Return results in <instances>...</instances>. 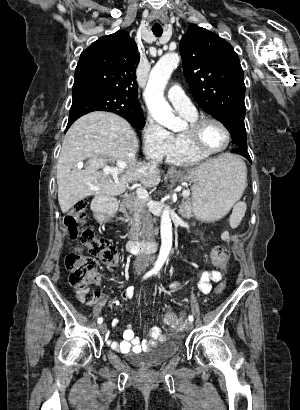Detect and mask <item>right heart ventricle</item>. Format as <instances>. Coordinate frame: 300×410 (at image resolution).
I'll return each instance as SVG.
<instances>
[{
    "instance_id": "right-heart-ventricle-1",
    "label": "right heart ventricle",
    "mask_w": 300,
    "mask_h": 410,
    "mask_svg": "<svg viewBox=\"0 0 300 410\" xmlns=\"http://www.w3.org/2000/svg\"><path fill=\"white\" fill-rule=\"evenodd\" d=\"M180 113V112H179ZM188 122L197 118V113H180ZM169 163L178 165H194L207 158L195 152L190 146L184 131L179 133H169V146L164 156Z\"/></svg>"
}]
</instances>
